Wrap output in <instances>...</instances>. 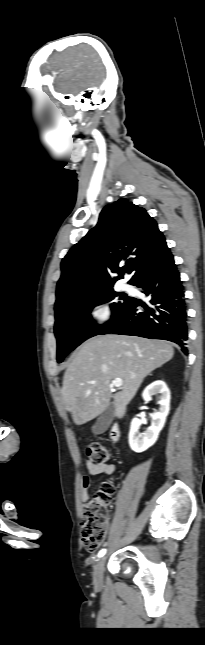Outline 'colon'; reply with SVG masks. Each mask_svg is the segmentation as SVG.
<instances>
[{
    "mask_svg": "<svg viewBox=\"0 0 205 645\" xmlns=\"http://www.w3.org/2000/svg\"><path fill=\"white\" fill-rule=\"evenodd\" d=\"M86 453L89 462L95 465L105 464L109 459L108 449L98 442L89 444ZM114 492V485L111 482H104L100 489L83 504L81 539L84 548L90 553L97 551L106 538L108 506Z\"/></svg>",
    "mask_w": 205,
    "mask_h": 645,
    "instance_id": "obj_1",
    "label": "colon"
}]
</instances>
